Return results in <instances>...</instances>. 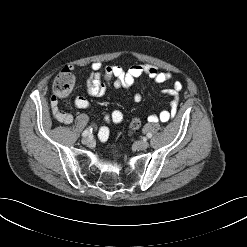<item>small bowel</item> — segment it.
<instances>
[{"instance_id": "small-bowel-1", "label": "small bowel", "mask_w": 247, "mask_h": 247, "mask_svg": "<svg viewBox=\"0 0 247 247\" xmlns=\"http://www.w3.org/2000/svg\"><path fill=\"white\" fill-rule=\"evenodd\" d=\"M142 76H147L155 83H165L172 78V73L169 71H160L156 66L151 64H136L129 69L124 70L118 65H106L101 62H94L91 65V72L86 80V92L91 97L103 96L108 87L114 89L131 90L136 79ZM182 89V84L175 81L171 87L163 90V93L171 97L170 110H164L159 114H152L148 117L149 122H157L161 120L166 122L175 116L178 106V96ZM141 94L136 92L133 99L136 102L141 101ZM74 105L80 109H89L92 103L83 96H78L74 99ZM51 111L53 117L64 124H70L73 121V116L69 113L62 112L58 109L57 103H51ZM104 119L107 123L113 122L119 124L123 120V113L119 109H114L110 113L104 114ZM109 128L107 125L101 126L98 130V135L101 141H106L109 138Z\"/></svg>"}]
</instances>
